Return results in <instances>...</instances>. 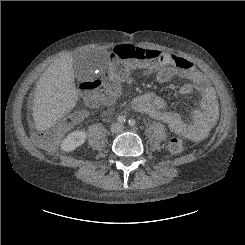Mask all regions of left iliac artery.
I'll return each instance as SVG.
<instances>
[{"instance_id": "obj_1", "label": "left iliac artery", "mask_w": 245, "mask_h": 245, "mask_svg": "<svg viewBox=\"0 0 245 245\" xmlns=\"http://www.w3.org/2000/svg\"><path fill=\"white\" fill-rule=\"evenodd\" d=\"M128 124H129L131 127H133V126L136 125V121H135L134 119H129V120H128Z\"/></svg>"}]
</instances>
